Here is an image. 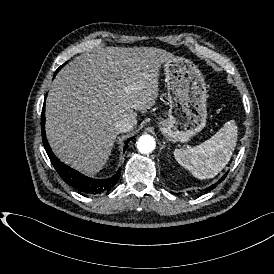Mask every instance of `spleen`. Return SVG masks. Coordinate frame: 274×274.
Wrapping results in <instances>:
<instances>
[{
    "instance_id": "1",
    "label": "spleen",
    "mask_w": 274,
    "mask_h": 274,
    "mask_svg": "<svg viewBox=\"0 0 274 274\" xmlns=\"http://www.w3.org/2000/svg\"><path fill=\"white\" fill-rule=\"evenodd\" d=\"M237 142V126L230 120L210 139L190 149H175L176 161L198 179L215 177L229 162Z\"/></svg>"
}]
</instances>
